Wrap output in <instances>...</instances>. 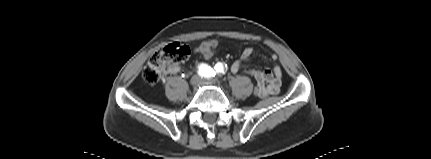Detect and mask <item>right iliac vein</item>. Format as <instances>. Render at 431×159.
I'll return each mask as SVG.
<instances>
[{
    "mask_svg": "<svg viewBox=\"0 0 431 159\" xmlns=\"http://www.w3.org/2000/svg\"><path fill=\"white\" fill-rule=\"evenodd\" d=\"M201 82V78L198 75H194L191 79H190V84L192 86H197L199 83Z\"/></svg>",
    "mask_w": 431,
    "mask_h": 159,
    "instance_id": "63e3f726",
    "label": "right iliac vein"
}]
</instances>
